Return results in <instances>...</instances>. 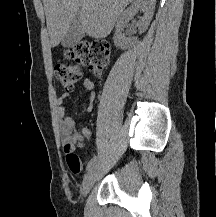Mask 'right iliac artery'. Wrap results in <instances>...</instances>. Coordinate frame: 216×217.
Segmentation results:
<instances>
[{
    "label": "right iliac artery",
    "instance_id": "1",
    "mask_svg": "<svg viewBox=\"0 0 216 217\" xmlns=\"http://www.w3.org/2000/svg\"><path fill=\"white\" fill-rule=\"evenodd\" d=\"M96 162V156H94L93 158H91V160L88 162L87 164V171H89L95 164Z\"/></svg>",
    "mask_w": 216,
    "mask_h": 217
}]
</instances>
